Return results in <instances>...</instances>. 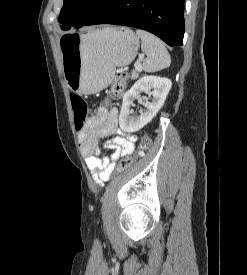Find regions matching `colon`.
<instances>
[{"instance_id": "colon-1", "label": "colon", "mask_w": 247, "mask_h": 275, "mask_svg": "<svg viewBox=\"0 0 247 275\" xmlns=\"http://www.w3.org/2000/svg\"><path fill=\"white\" fill-rule=\"evenodd\" d=\"M127 77H128V74L126 71L119 70L117 72L114 80L111 83L109 96L107 100L108 103H111L112 100L121 96L124 90V85ZM71 104H72V109L74 114L75 127L78 131H80L84 127L87 121V118L89 115V107L86 101L82 97L76 94L71 95ZM149 144H150V138L147 135H144L142 137V140L139 144L138 149L134 153L123 158L117 163L114 174L121 173L126 169H128L133 164H135L139 160V158L142 156L144 151L148 148Z\"/></svg>"}]
</instances>
